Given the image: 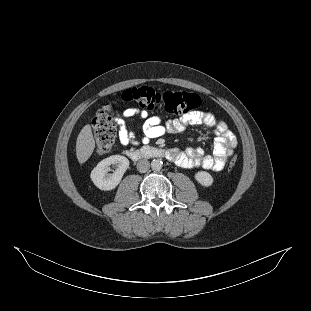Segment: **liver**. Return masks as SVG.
Instances as JSON below:
<instances>
[{
    "instance_id": "1",
    "label": "liver",
    "mask_w": 311,
    "mask_h": 311,
    "mask_svg": "<svg viewBox=\"0 0 311 311\" xmlns=\"http://www.w3.org/2000/svg\"><path fill=\"white\" fill-rule=\"evenodd\" d=\"M94 148L95 140L92 129L91 126L87 124L81 129L76 141V156L78 162L80 164L85 163L92 155Z\"/></svg>"
}]
</instances>
